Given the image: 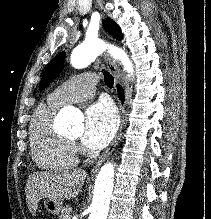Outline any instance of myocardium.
Segmentation results:
<instances>
[{
    "mask_svg": "<svg viewBox=\"0 0 211 219\" xmlns=\"http://www.w3.org/2000/svg\"><path fill=\"white\" fill-rule=\"evenodd\" d=\"M69 140V142L74 146L75 144V140L73 138H67Z\"/></svg>",
    "mask_w": 211,
    "mask_h": 219,
    "instance_id": "obj_1",
    "label": "myocardium"
}]
</instances>
